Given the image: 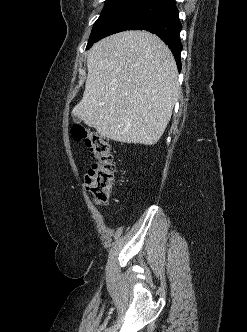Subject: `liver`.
Listing matches in <instances>:
<instances>
[{
  "mask_svg": "<svg viewBox=\"0 0 247 332\" xmlns=\"http://www.w3.org/2000/svg\"><path fill=\"white\" fill-rule=\"evenodd\" d=\"M87 69L73 115L111 140L157 143L179 94L176 63L165 43L146 31L117 33L90 49Z\"/></svg>",
  "mask_w": 247,
  "mask_h": 332,
  "instance_id": "obj_1",
  "label": "liver"
}]
</instances>
